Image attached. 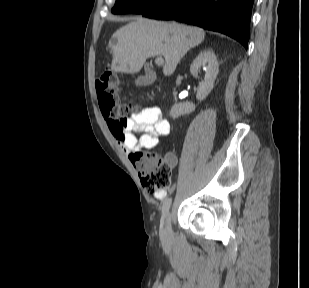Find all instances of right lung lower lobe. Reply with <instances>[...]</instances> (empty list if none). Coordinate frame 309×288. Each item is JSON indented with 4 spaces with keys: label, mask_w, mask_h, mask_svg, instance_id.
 <instances>
[{
    "label": "right lung lower lobe",
    "mask_w": 309,
    "mask_h": 288,
    "mask_svg": "<svg viewBox=\"0 0 309 288\" xmlns=\"http://www.w3.org/2000/svg\"><path fill=\"white\" fill-rule=\"evenodd\" d=\"M254 0H165L142 13L162 20H179L221 32L246 49Z\"/></svg>",
    "instance_id": "right-lung-lower-lobe-1"
}]
</instances>
